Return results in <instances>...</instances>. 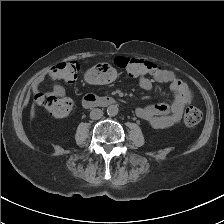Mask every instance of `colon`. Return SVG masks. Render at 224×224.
<instances>
[{"mask_svg": "<svg viewBox=\"0 0 224 224\" xmlns=\"http://www.w3.org/2000/svg\"><path fill=\"white\" fill-rule=\"evenodd\" d=\"M115 65L132 77H142L150 75L160 77L163 81L169 78L165 75L164 70L160 69L153 62L141 58H131L118 56L114 60ZM80 66L77 61L67 60L54 66L53 70L60 79L65 82H72L77 78ZM36 102L43 106L44 109L53 117L63 119L67 117L72 110V101L68 98H57L53 96L36 95ZM184 124L187 127H195L202 120L201 111L195 106H188L184 112Z\"/></svg>", "mask_w": 224, "mask_h": 224, "instance_id": "5ec220e1", "label": "colon"}]
</instances>
